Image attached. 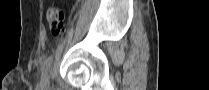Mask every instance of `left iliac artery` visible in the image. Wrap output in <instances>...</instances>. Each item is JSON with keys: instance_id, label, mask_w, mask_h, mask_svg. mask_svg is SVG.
Instances as JSON below:
<instances>
[{"instance_id": "left-iliac-artery-1", "label": "left iliac artery", "mask_w": 209, "mask_h": 90, "mask_svg": "<svg viewBox=\"0 0 209 90\" xmlns=\"http://www.w3.org/2000/svg\"><path fill=\"white\" fill-rule=\"evenodd\" d=\"M53 62V55L51 54L44 62L43 70H42V76L45 77L52 65Z\"/></svg>"}]
</instances>
